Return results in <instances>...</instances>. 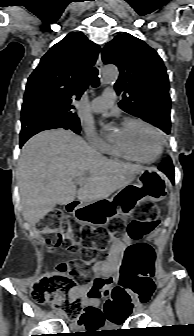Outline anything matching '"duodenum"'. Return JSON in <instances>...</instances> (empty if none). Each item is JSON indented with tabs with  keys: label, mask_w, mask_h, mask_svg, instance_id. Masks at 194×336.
I'll return each mask as SVG.
<instances>
[{
	"label": "duodenum",
	"mask_w": 194,
	"mask_h": 336,
	"mask_svg": "<svg viewBox=\"0 0 194 336\" xmlns=\"http://www.w3.org/2000/svg\"><path fill=\"white\" fill-rule=\"evenodd\" d=\"M76 202H71V203H69V205H68V209L69 210H73L75 207H76Z\"/></svg>",
	"instance_id": "obj_1"
}]
</instances>
